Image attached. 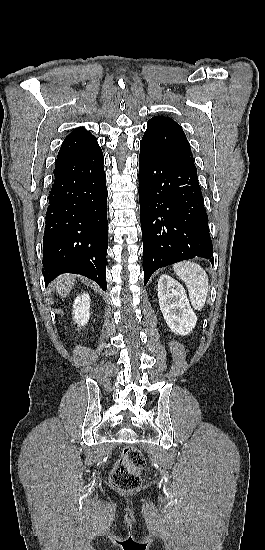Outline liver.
<instances>
[{
  "instance_id": "6515ba94",
  "label": "liver",
  "mask_w": 265,
  "mask_h": 550,
  "mask_svg": "<svg viewBox=\"0 0 265 550\" xmlns=\"http://www.w3.org/2000/svg\"><path fill=\"white\" fill-rule=\"evenodd\" d=\"M74 281H75L74 275L65 274V275L59 276L54 281V286L56 288L57 293L61 297H66L72 290L74 286Z\"/></svg>"
}]
</instances>
